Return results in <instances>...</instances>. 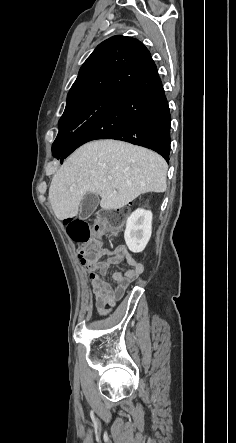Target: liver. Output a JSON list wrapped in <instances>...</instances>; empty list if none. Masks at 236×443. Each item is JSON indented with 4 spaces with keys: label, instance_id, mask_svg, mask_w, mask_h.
I'll return each mask as SVG.
<instances>
[{
    "label": "liver",
    "instance_id": "liver-1",
    "mask_svg": "<svg viewBox=\"0 0 236 443\" xmlns=\"http://www.w3.org/2000/svg\"><path fill=\"white\" fill-rule=\"evenodd\" d=\"M168 165L143 147L99 140L78 148L54 174L49 201L59 220L77 216L86 193L101 196L100 206L117 210L140 194L166 190Z\"/></svg>",
    "mask_w": 236,
    "mask_h": 443
}]
</instances>
